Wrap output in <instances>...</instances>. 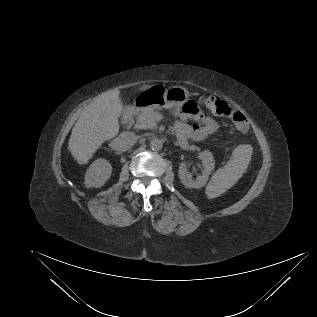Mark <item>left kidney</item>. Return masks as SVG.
<instances>
[{
  "label": "left kidney",
  "mask_w": 317,
  "mask_h": 317,
  "mask_svg": "<svg viewBox=\"0 0 317 317\" xmlns=\"http://www.w3.org/2000/svg\"><path fill=\"white\" fill-rule=\"evenodd\" d=\"M199 158L202 160L203 170L202 174L196 177V180L192 179V175L187 171L186 162H182L179 165V179L183 185L188 188H202L207 183L208 177L211 171L214 169L215 162L213 155L210 151L204 150L200 153Z\"/></svg>",
  "instance_id": "obj_1"
}]
</instances>
